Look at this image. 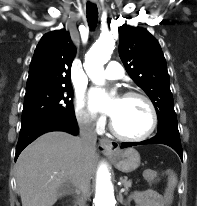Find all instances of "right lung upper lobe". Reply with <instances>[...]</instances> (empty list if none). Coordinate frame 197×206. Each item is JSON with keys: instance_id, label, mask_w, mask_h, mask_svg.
<instances>
[{"instance_id": "right-lung-upper-lobe-1", "label": "right lung upper lobe", "mask_w": 197, "mask_h": 206, "mask_svg": "<svg viewBox=\"0 0 197 206\" xmlns=\"http://www.w3.org/2000/svg\"><path fill=\"white\" fill-rule=\"evenodd\" d=\"M75 47L66 30L45 34L34 52L26 89L70 85V70Z\"/></svg>"}]
</instances>
